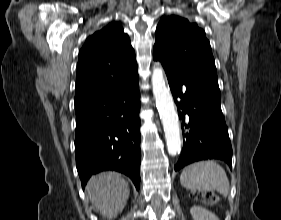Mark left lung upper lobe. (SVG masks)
I'll return each mask as SVG.
<instances>
[{
  "label": "left lung upper lobe",
  "instance_id": "obj_1",
  "mask_svg": "<svg viewBox=\"0 0 281 220\" xmlns=\"http://www.w3.org/2000/svg\"><path fill=\"white\" fill-rule=\"evenodd\" d=\"M153 57L166 68L192 74L219 90L210 43L197 24L175 15L163 18L156 29Z\"/></svg>",
  "mask_w": 281,
  "mask_h": 220
}]
</instances>
